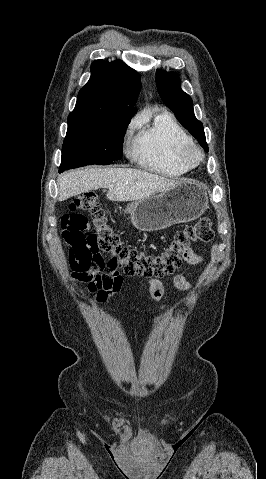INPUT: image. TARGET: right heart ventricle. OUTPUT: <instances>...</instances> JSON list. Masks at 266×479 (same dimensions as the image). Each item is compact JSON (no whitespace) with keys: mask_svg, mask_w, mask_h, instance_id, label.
Masks as SVG:
<instances>
[{"mask_svg":"<svg viewBox=\"0 0 266 479\" xmlns=\"http://www.w3.org/2000/svg\"><path fill=\"white\" fill-rule=\"evenodd\" d=\"M189 144H192L190 136L175 118L161 112L149 126L136 129L129 154L148 171L178 177L194 168L180 158V150Z\"/></svg>","mask_w":266,"mask_h":479,"instance_id":"right-heart-ventricle-1","label":"right heart ventricle"}]
</instances>
